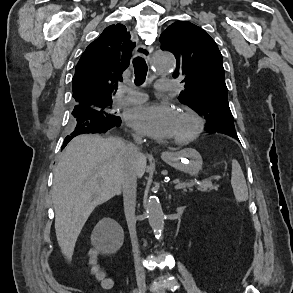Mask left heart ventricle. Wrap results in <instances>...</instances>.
Returning a JSON list of instances; mask_svg holds the SVG:
<instances>
[{"label": "left heart ventricle", "mask_w": 293, "mask_h": 293, "mask_svg": "<svg viewBox=\"0 0 293 293\" xmlns=\"http://www.w3.org/2000/svg\"><path fill=\"white\" fill-rule=\"evenodd\" d=\"M192 129V122L178 114L175 115V121L173 125V131H172V138L180 137L188 134Z\"/></svg>", "instance_id": "obj_1"}]
</instances>
